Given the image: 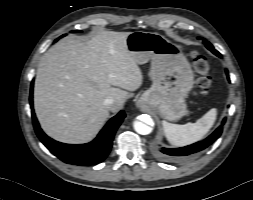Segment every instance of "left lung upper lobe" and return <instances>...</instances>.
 Returning <instances> with one entry per match:
<instances>
[{"mask_svg": "<svg viewBox=\"0 0 253 200\" xmlns=\"http://www.w3.org/2000/svg\"><path fill=\"white\" fill-rule=\"evenodd\" d=\"M198 39H202V38H198ZM203 43L205 44V46L212 51L215 55H217L218 57H221L220 53L218 51H216L214 49V47L211 45V43H209L207 40L203 39Z\"/></svg>", "mask_w": 253, "mask_h": 200, "instance_id": "left-lung-upper-lobe-1", "label": "left lung upper lobe"}]
</instances>
